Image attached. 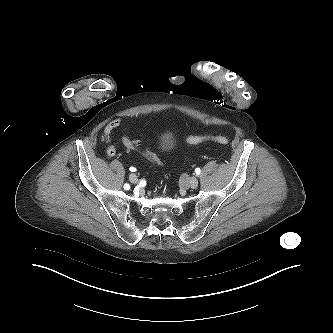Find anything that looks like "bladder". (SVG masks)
I'll return each mask as SVG.
<instances>
[{
    "label": "bladder",
    "mask_w": 333,
    "mask_h": 333,
    "mask_svg": "<svg viewBox=\"0 0 333 333\" xmlns=\"http://www.w3.org/2000/svg\"><path fill=\"white\" fill-rule=\"evenodd\" d=\"M158 145L161 152L163 153L170 152L175 145L173 136L168 133L163 134L159 139Z\"/></svg>",
    "instance_id": "obj_1"
}]
</instances>
